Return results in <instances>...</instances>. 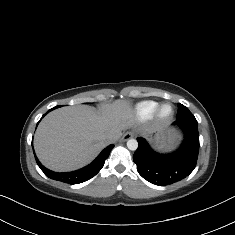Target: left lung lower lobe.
I'll use <instances>...</instances> for the list:
<instances>
[{
	"mask_svg": "<svg viewBox=\"0 0 235 235\" xmlns=\"http://www.w3.org/2000/svg\"><path fill=\"white\" fill-rule=\"evenodd\" d=\"M175 125L184 133L181 146L172 153L159 154L153 151L145 139L138 137V149L133 155L138 173L147 181L167 185L188 176L195 168L199 153L197 120H176Z\"/></svg>",
	"mask_w": 235,
	"mask_h": 235,
	"instance_id": "obj_1",
	"label": "left lung lower lobe"
}]
</instances>
